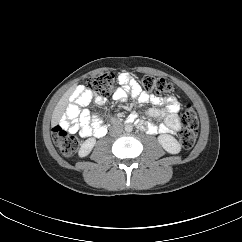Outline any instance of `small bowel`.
<instances>
[{"instance_id": "obj_1", "label": "small bowel", "mask_w": 242, "mask_h": 242, "mask_svg": "<svg viewBox=\"0 0 242 242\" xmlns=\"http://www.w3.org/2000/svg\"><path fill=\"white\" fill-rule=\"evenodd\" d=\"M120 86L115 92V99L118 102H123L126 97H131L136 102L144 104L151 103L154 107L146 110V113L155 118H162L164 124L157 126L155 123L147 124V132L154 134L156 132L173 133L180 129V120L178 112L180 103L177 98L160 97L153 94H148L140 89L138 85L132 82L125 74L119 75ZM93 97V93L85 88H79L71 96L72 104L68 108L60 120L61 125L69 132L79 134L83 138L96 136L100 137L102 130L103 117L98 113H89L82 110L80 107L85 106ZM93 103L95 106L105 104V99L101 96H94Z\"/></svg>"}]
</instances>
